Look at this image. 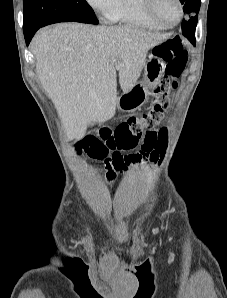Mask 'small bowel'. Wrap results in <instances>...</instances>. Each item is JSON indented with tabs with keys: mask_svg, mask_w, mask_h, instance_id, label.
I'll return each mask as SVG.
<instances>
[{
	"mask_svg": "<svg viewBox=\"0 0 227 298\" xmlns=\"http://www.w3.org/2000/svg\"><path fill=\"white\" fill-rule=\"evenodd\" d=\"M85 139H76L74 146L77 147L80 155L86 158H95L103 162L106 170V182L111 185L121 174H127L131 165L141 163L145 158L150 161H157L159 154L152 155L150 151L141 150L131 154L130 150H111L105 139H95V134H85ZM125 154V155H124Z\"/></svg>",
	"mask_w": 227,
	"mask_h": 298,
	"instance_id": "obj_1",
	"label": "small bowel"
}]
</instances>
